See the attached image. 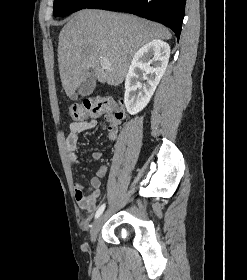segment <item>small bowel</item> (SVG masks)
<instances>
[{
  "mask_svg": "<svg viewBox=\"0 0 247 280\" xmlns=\"http://www.w3.org/2000/svg\"><path fill=\"white\" fill-rule=\"evenodd\" d=\"M105 120L107 122V135L111 141H115L118 137L119 125L121 119L114 117L113 115H106ZM98 121L96 119L83 120L79 122H73L69 127V134L66 137V148L68 151V158L73 168L80 165V161L77 157L78 147V134L96 128ZM92 160H99L102 154L98 151L91 153ZM107 174V167L101 166L94 177L90 179V187L86 190L82 185H75V197L80 208L92 212L97 206L98 201L101 198V180Z\"/></svg>",
  "mask_w": 247,
  "mask_h": 280,
  "instance_id": "1",
  "label": "small bowel"
}]
</instances>
